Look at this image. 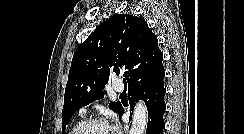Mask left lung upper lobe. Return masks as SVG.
I'll return each instance as SVG.
<instances>
[{"instance_id": "5c2ea615", "label": "left lung upper lobe", "mask_w": 244, "mask_h": 134, "mask_svg": "<svg viewBox=\"0 0 244 134\" xmlns=\"http://www.w3.org/2000/svg\"><path fill=\"white\" fill-rule=\"evenodd\" d=\"M158 40L143 18L116 14L103 22L76 49L65 89L62 110L64 132L72 115L81 107L102 99L112 73L123 74L128 90H141L164 78ZM120 113V102L109 104Z\"/></svg>"}]
</instances>
